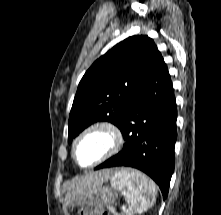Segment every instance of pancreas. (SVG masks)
Here are the masks:
<instances>
[{
	"label": "pancreas",
	"mask_w": 221,
	"mask_h": 215,
	"mask_svg": "<svg viewBox=\"0 0 221 215\" xmlns=\"http://www.w3.org/2000/svg\"><path fill=\"white\" fill-rule=\"evenodd\" d=\"M115 215H119V214H115ZM125 215H131V213L130 212H125Z\"/></svg>",
	"instance_id": "obj_1"
}]
</instances>
